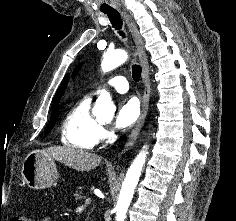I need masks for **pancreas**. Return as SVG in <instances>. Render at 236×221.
<instances>
[{"label": "pancreas", "mask_w": 236, "mask_h": 221, "mask_svg": "<svg viewBox=\"0 0 236 221\" xmlns=\"http://www.w3.org/2000/svg\"><path fill=\"white\" fill-rule=\"evenodd\" d=\"M74 198L76 201H80L85 198L84 192L82 190L76 191L74 193Z\"/></svg>", "instance_id": "1"}]
</instances>
